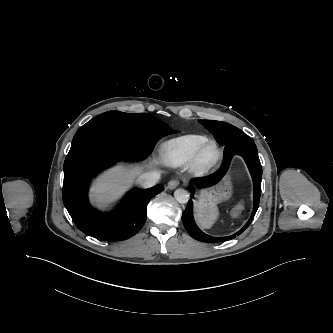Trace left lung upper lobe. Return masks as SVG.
<instances>
[{"mask_svg": "<svg viewBox=\"0 0 333 333\" xmlns=\"http://www.w3.org/2000/svg\"><path fill=\"white\" fill-rule=\"evenodd\" d=\"M200 123L203 124L214 135L215 139L222 146L227 144L231 136L241 131L240 129L228 123L220 121L200 120Z\"/></svg>", "mask_w": 333, "mask_h": 333, "instance_id": "1", "label": "left lung upper lobe"}]
</instances>
